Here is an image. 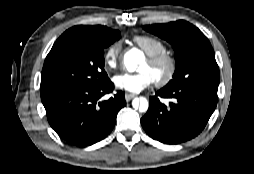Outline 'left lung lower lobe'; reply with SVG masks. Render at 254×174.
I'll return each mask as SVG.
<instances>
[{
	"label": "left lung lower lobe",
	"instance_id": "left-lung-lower-lobe-1",
	"mask_svg": "<svg viewBox=\"0 0 254 174\" xmlns=\"http://www.w3.org/2000/svg\"><path fill=\"white\" fill-rule=\"evenodd\" d=\"M218 86L192 84L179 89L162 88L149 99V109L141 118L146 133L165 144H179L196 137L214 112ZM158 97L170 98L165 105Z\"/></svg>",
	"mask_w": 254,
	"mask_h": 174
}]
</instances>
